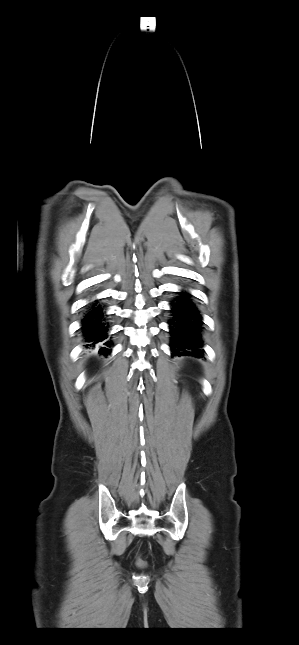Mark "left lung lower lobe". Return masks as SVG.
<instances>
[{
    "instance_id": "obj_1",
    "label": "left lung lower lobe",
    "mask_w": 299,
    "mask_h": 645,
    "mask_svg": "<svg viewBox=\"0 0 299 645\" xmlns=\"http://www.w3.org/2000/svg\"><path fill=\"white\" fill-rule=\"evenodd\" d=\"M172 318L169 321L171 334L172 355H195L201 356L202 340L200 338L202 318L186 292H180L179 296L171 303Z\"/></svg>"
}]
</instances>
